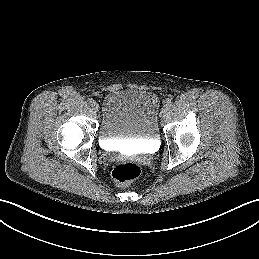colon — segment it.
<instances>
[{"label": "colon", "mask_w": 259, "mask_h": 259, "mask_svg": "<svg viewBox=\"0 0 259 259\" xmlns=\"http://www.w3.org/2000/svg\"><path fill=\"white\" fill-rule=\"evenodd\" d=\"M140 174V166L133 161L120 162L112 170L113 180L120 187L131 185L139 178Z\"/></svg>", "instance_id": "colon-1"}]
</instances>
